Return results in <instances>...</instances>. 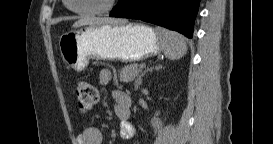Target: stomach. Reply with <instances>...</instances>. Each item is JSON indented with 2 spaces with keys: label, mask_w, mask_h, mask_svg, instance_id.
<instances>
[{
  "label": "stomach",
  "mask_w": 273,
  "mask_h": 144,
  "mask_svg": "<svg viewBox=\"0 0 273 144\" xmlns=\"http://www.w3.org/2000/svg\"><path fill=\"white\" fill-rule=\"evenodd\" d=\"M59 48L64 62L75 71L84 70L90 59L136 62L164 50L155 29L136 23L75 29L60 37Z\"/></svg>",
  "instance_id": "1"
}]
</instances>
